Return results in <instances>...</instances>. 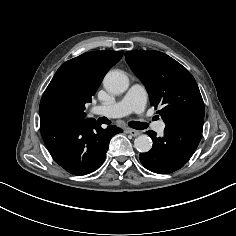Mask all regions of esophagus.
I'll use <instances>...</instances> for the list:
<instances>
[{
	"mask_svg": "<svg viewBox=\"0 0 236 236\" xmlns=\"http://www.w3.org/2000/svg\"><path fill=\"white\" fill-rule=\"evenodd\" d=\"M125 132H126L127 134H130L131 136H134V137L141 134L140 131L134 130V129H126Z\"/></svg>",
	"mask_w": 236,
	"mask_h": 236,
	"instance_id": "1",
	"label": "esophagus"
}]
</instances>
